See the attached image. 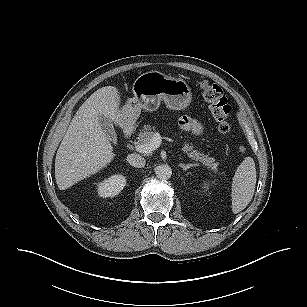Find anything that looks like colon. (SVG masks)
Segmentation results:
<instances>
[{
	"mask_svg": "<svg viewBox=\"0 0 307 307\" xmlns=\"http://www.w3.org/2000/svg\"><path fill=\"white\" fill-rule=\"evenodd\" d=\"M198 89L203 99L208 103L209 109L218 123V130L222 134H229L232 130V109L224 96L220 86L206 80H199Z\"/></svg>",
	"mask_w": 307,
	"mask_h": 307,
	"instance_id": "colon-1",
	"label": "colon"
}]
</instances>
